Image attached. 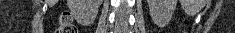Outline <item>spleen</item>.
<instances>
[{"label":"spleen","mask_w":235,"mask_h":33,"mask_svg":"<svg viewBox=\"0 0 235 33\" xmlns=\"http://www.w3.org/2000/svg\"><path fill=\"white\" fill-rule=\"evenodd\" d=\"M187 11L190 12V13H192V12H196V9L191 10L190 8H187Z\"/></svg>","instance_id":"obj_1"}]
</instances>
